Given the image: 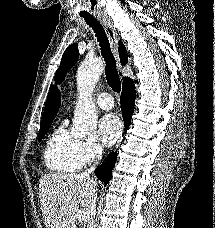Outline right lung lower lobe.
I'll list each match as a JSON object with an SVG mask.
<instances>
[{
    "label": "right lung lower lobe",
    "instance_id": "1",
    "mask_svg": "<svg viewBox=\"0 0 215 228\" xmlns=\"http://www.w3.org/2000/svg\"><path fill=\"white\" fill-rule=\"evenodd\" d=\"M136 92L134 88V81L128 77L124 79L123 91L121 93V110L125 124V131L129 128L131 123V115L134 110V100ZM117 160V152H111L105 159V163L95 169V174L99 180L108 184L111 179V172Z\"/></svg>",
    "mask_w": 215,
    "mask_h": 228
}]
</instances>
